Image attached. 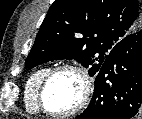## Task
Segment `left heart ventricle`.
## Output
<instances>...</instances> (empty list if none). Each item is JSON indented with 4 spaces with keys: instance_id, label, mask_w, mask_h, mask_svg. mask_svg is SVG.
I'll use <instances>...</instances> for the list:
<instances>
[{
    "instance_id": "obj_1",
    "label": "left heart ventricle",
    "mask_w": 142,
    "mask_h": 119,
    "mask_svg": "<svg viewBox=\"0 0 142 119\" xmlns=\"http://www.w3.org/2000/svg\"><path fill=\"white\" fill-rule=\"evenodd\" d=\"M81 94V80L72 71L59 72L53 76L44 92L46 107L64 112L74 107Z\"/></svg>"
}]
</instances>
